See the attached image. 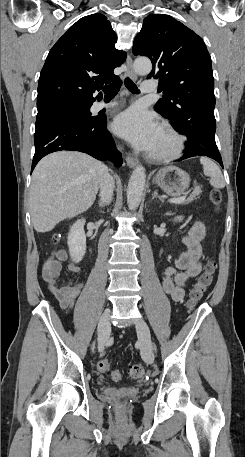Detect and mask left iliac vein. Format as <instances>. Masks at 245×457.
Returning a JSON list of instances; mask_svg holds the SVG:
<instances>
[{"instance_id": "1", "label": "left iliac vein", "mask_w": 245, "mask_h": 457, "mask_svg": "<svg viewBox=\"0 0 245 457\" xmlns=\"http://www.w3.org/2000/svg\"><path fill=\"white\" fill-rule=\"evenodd\" d=\"M136 329L139 332V342L141 344V352L143 354L144 361L147 364H151L154 361V352L149 327L145 321L138 320L136 323Z\"/></svg>"}]
</instances>
